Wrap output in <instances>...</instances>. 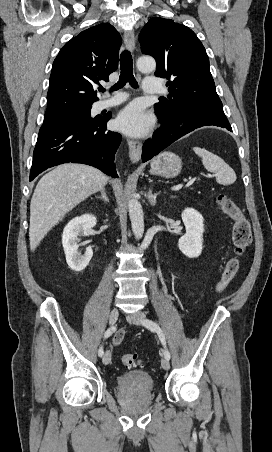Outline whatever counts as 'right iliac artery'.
<instances>
[{
    "mask_svg": "<svg viewBox=\"0 0 272 452\" xmlns=\"http://www.w3.org/2000/svg\"><path fill=\"white\" fill-rule=\"evenodd\" d=\"M114 329H115L114 327L108 328V329L106 330V332L104 333V339L110 337V336L112 335ZM103 354H104V351H103V347L101 346V347L99 348V350H98V355H99L100 357H102Z\"/></svg>",
    "mask_w": 272,
    "mask_h": 452,
    "instance_id": "obj_1",
    "label": "right iliac artery"
}]
</instances>
